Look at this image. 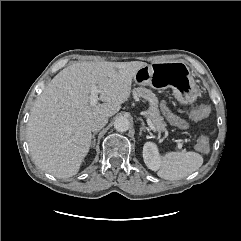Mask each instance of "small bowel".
<instances>
[{"label": "small bowel", "instance_id": "obj_1", "mask_svg": "<svg viewBox=\"0 0 241 241\" xmlns=\"http://www.w3.org/2000/svg\"><path fill=\"white\" fill-rule=\"evenodd\" d=\"M162 111H163V114L165 115V117L167 118V120L175 125V126H178L179 128H187V123L182 120L181 118H179L178 116L174 115L166 105H163L162 106Z\"/></svg>", "mask_w": 241, "mask_h": 241}]
</instances>
